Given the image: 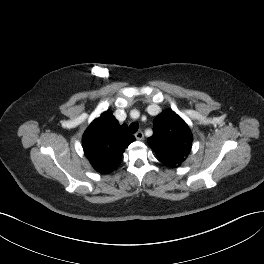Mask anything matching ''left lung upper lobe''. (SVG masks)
<instances>
[{
  "label": "left lung upper lobe",
  "mask_w": 264,
  "mask_h": 264,
  "mask_svg": "<svg viewBox=\"0 0 264 264\" xmlns=\"http://www.w3.org/2000/svg\"><path fill=\"white\" fill-rule=\"evenodd\" d=\"M152 137L148 144L166 166L176 168L188 157L192 146V133L175 112L164 110L154 119Z\"/></svg>",
  "instance_id": "5c2ea615"
}]
</instances>
